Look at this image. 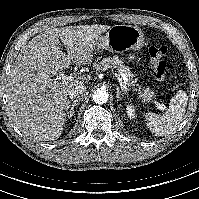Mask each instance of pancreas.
<instances>
[{
    "mask_svg": "<svg viewBox=\"0 0 199 199\" xmlns=\"http://www.w3.org/2000/svg\"><path fill=\"white\" fill-rule=\"evenodd\" d=\"M107 69L117 70L123 73L127 77L126 85L133 88L134 91L138 92L139 96L143 98L144 101H151L154 92L149 88L141 90V86L137 84V79H133L134 74L131 73L130 68L126 66L123 60L119 59L118 56L103 58L102 61L96 64L97 71H105ZM138 87V89L136 88Z\"/></svg>",
    "mask_w": 199,
    "mask_h": 199,
    "instance_id": "1",
    "label": "pancreas"
}]
</instances>
